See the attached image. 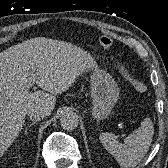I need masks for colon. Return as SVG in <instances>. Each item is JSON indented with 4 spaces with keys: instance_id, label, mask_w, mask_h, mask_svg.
I'll return each instance as SVG.
<instances>
[{
    "instance_id": "5ec220e1",
    "label": "colon",
    "mask_w": 168,
    "mask_h": 168,
    "mask_svg": "<svg viewBox=\"0 0 168 168\" xmlns=\"http://www.w3.org/2000/svg\"><path fill=\"white\" fill-rule=\"evenodd\" d=\"M100 46L109 53L110 58L115 61L117 69L122 73V75L131 83L137 92L144 93L147 90L146 83L140 78L136 77L133 70L129 69L122 62L116 61L114 56L111 54L113 47V39L109 36H101L98 39Z\"/></svg>"
}]
</instances>
